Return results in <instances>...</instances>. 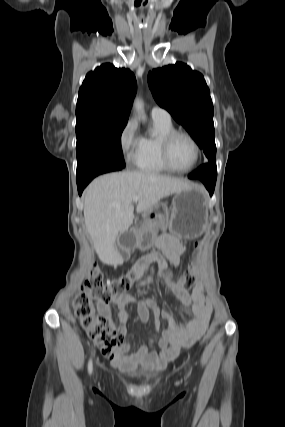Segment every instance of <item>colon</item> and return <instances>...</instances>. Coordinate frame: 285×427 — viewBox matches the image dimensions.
<instances>
[{"mask_svg":"<svg viewBox=\"0 0 285 427\" xmlns=\"http://www.w3.org/2000/svg\"><path fill=\"white\" fill-rule=\"evenodd\" d=\"M130 245L131 241H124ZM198 248V244H195ZM148 265L145 266V268ZM199 266L192 262L188 269L179 277L178 283L185 290L197 286ZM133 282V273H125L119 277L105 281L102 272L95 266L91 267L80 292L73 301L75 315L82 329L92 338L105 353H113L122 343V337L106 325L105 319L96 312L95 303L108 304L115 297L125 293Z\"/></svg>","mask_w":285,"mask_h":427,"instance_id":"obj_1","label":"colon"}]
</instances>
